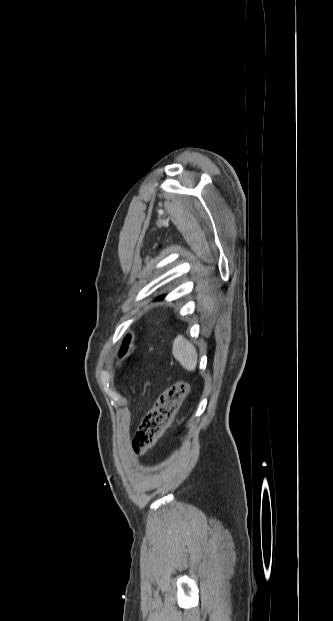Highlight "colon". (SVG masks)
Masks as SVG:
<instances>
[{
  "mask_svg": "<svg viewBox=\"0 0 333 621\" xmlns=\"http://www.w3.org/2000/svg\"><path fill=\"white\" fill-rule=\"evenodd\" d=\"M188 390V383L179 380L162 392L154 406L143 418L135 434L132 443L135 454H144L158 442L178 411Z\"/></svg>",
  "mask_w": 333,
  "mask_h": 621,
  "instance_id": "colon-1",
  "label": "colon"
}]
</instances>
